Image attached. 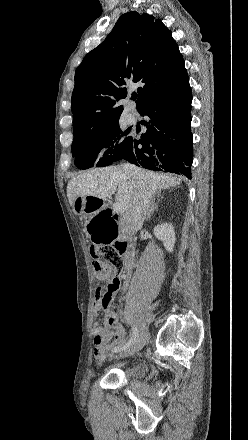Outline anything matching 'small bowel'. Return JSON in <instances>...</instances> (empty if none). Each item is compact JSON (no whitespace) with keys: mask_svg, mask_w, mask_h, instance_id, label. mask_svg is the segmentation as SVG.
Segmentation results:
<instances>
[{"mask_svg":"<svg viewBox=\"0 0 248 440\" xmlns=\"http://www.w3.org/2000/svg\"><path fill=\"white\" fill-rule=\"evenodd\" d=\"M114 271V278L110 281L115 284V288L112 290V298L117 292L120 286L119 272H123V267H117ZM102 292L106 289L98 288ZM100 311L105 312L106 324L109 328L104 329L98 322L93 323V337H94V355L99 361H103L108 356L109 351L123 345L125 339L124 328L118 323L117 316L110 310V304L103 306L99 300L96 299L93 305V315L96 317ZM112 341V342H111Z\"/></svg>","mask_w":248,"mask_h":440,"instance_id":"c3829d8e","label":"small bowel"}]
</instances>
